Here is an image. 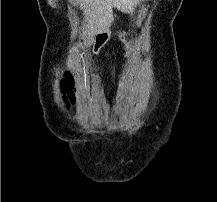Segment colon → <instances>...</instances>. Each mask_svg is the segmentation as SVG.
Masks as SVG:
<instances>
[{"label":"colon","mask_w":217,"mask_h":202,"mask_svg":"<svg viewBox=\"0 0 217 202\" xmlns=\"http://www.w3.org/2000/svg\"><path fill=\"white\" fill-rule=\"evenodd\" d=\"M66 71V76L63 79L71 80V78H78L79 74L74 73L70 68H64ZM75 82H64V91H62V96H74L75 95ZM108 96H118V91H108ZM67 102H77V97H67Z\"/></svg>","instance_id":"1"}]
</instances>
